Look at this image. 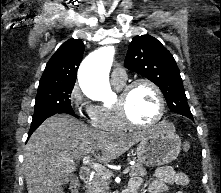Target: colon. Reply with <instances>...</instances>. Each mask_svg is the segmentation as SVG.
Instances as JSON below:
<instances>
[{
	"label": "colon",
	"instance_id": "colon-1",
	"mask_svg": "<svg viewBox=\"0 0 221 193\" xmlns=\"http://www.w3.org/2000/svg\"><path fill=\"white\" fill-rule=\"evenodd\" d=\"M191 145L189 143H184L183 144V149L188 151L190 150ZM78 189H79V184L77 180H73L71 185H70V193H78Z\"/></svg>",
	"mask_w": 221,
	"mask_h": 193
}]
</instances>
